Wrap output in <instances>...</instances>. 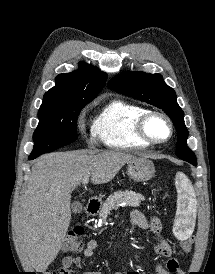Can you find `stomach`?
Segmentation results:
<instances>
[{
	"label": "stomach",
	"instance_id": "0dacf381",
	"mask_svg": "<svg viewBox=\"0 0 215 274\" xmlns=\"http://www.w3.org/2000/svg\"><path fill=\"white\" fill-rule=\"evenodd\" d=\"M155 172L151 160L141 157H133L127 166V173L131 179L137 182H145L152 178Z\"/></svg>",
	"mask_w": 215,
	"mask_h": 274
}]
</instances>
